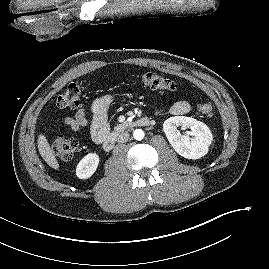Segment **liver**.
I'll use <instances>...</instances> for the list:
<instances>
[{"mask_svg":"<svg viewBox=\"0 0 269 269\" xmlns=\"http://www.w3.org/2000/svg\"><path fill=\"white\" fill-rule=\"evenodd\" d=\"M38 149L40 152L41 157L44 159V161L53 169H58L59 164L57 159L55 158L48 140L46 139L45 135L40 134L38 136Z\"/></svg>","mask_w":269,"mask_h":269,"instance_id":"obj_1","label":"liver"}]
</instances>
